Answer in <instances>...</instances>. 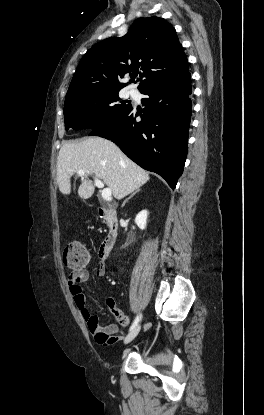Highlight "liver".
Returning <instances> with one entry per match:
<instances>
[{
  "label": "liver",
  "instance_id": "liver-1",
  "mask_svg": "<svg viewBox=\"0 0 264 415\" xmlns=\"http://www.w3.org/2000/svg\"><path fill=\"white\" fill-rule=\"evenodd\" d=\"M84 169L78 195L90 198L95 190L87 174H94L120 200L144 185L149 179L147 171L130 160L113 142L101 137H89L79 142L64 144L57 160V183L62 194H70L71 177Z\"/></svg>",
  "mask_w": 264,
  "mask_h": 415
}]
</instances>
